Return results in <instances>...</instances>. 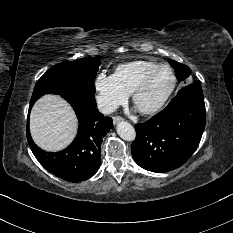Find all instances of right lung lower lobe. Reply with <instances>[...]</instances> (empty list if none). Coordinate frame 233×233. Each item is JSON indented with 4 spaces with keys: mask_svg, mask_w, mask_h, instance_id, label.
I'll return each instance as SVG.
<instances>
[{
    "mask_svg": "<svg viewBox=\"0 0 233 233\" xmlns=\"http://www.w3.org/2000/svg\"><path fill=\"white\" fill-rule=\"evenodd\" d=\"M62 97L72 105L79 120L78 133L72 144L56 153L40 149L29 133V115L27 140L33 154L47 171L70 182H81L98 171L102 139L113 127V122L110 117L98 112L94 98L84 95ZM36 100L31 99L30 109Z\"/></svg>",
    "mask_w": 233,
    "mask_h": 233,
    "instance_id": "1",
    "label": "right lung lower lobe"
}]
</instances>
